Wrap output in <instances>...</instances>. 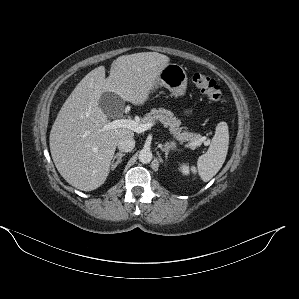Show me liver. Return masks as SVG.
Segmentation results:
<instances>
[{
  "mask_svg": "<svg viewBox=\"0 0 299 299\" xmlns=\"http://www.w3.org/2000/svg\"><path fill=\"white\" fill-rule=\"evenodd\" d=\"M166 55L143 52L123 55L105 67L90 71L61 107L52 126L49 143L54 164L73 187L92 191L106 181L118 140L134 136L128 128L104 130L107 115L99 107L104 92H113L123 101L144 105L152 87L169 63Z\"/></svg>",
  "mask_w": 299,
  "mask_h": 299,
  "instance_id": "obj_1",
  "label": "liver"
}]
</instances>
